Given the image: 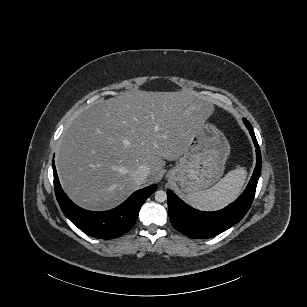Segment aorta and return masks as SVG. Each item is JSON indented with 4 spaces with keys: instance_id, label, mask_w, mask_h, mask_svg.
I'll return each mask as SVG.
<instances>
[{
    "instance_id": "obj_1",
    "label": "aorta",
    "mask_w": 307,
    "mask_h": 307,
    "mask_svg": "<svg viewBox=\"0 0 307 307\" xmlns=\"http://www.w3.org/2000/svg\"><path fill=\"white\" fill-rule=\"evenodd\" d=\"M167 199V193L164 190H158L155 193V200L157 202H164Z\"/></svg>"
}]
</instances>
